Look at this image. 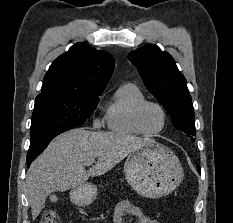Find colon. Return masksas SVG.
<instances>
[{
	"label": "colon",
	"instance_id": "colon-1",
	"mask_svg": "<svg viewBox=\"0 0 233 223\" xmlns=\"http://www.w3.org/2000/svg\"><path fill=\"white\" fill-rule=\"evenodd\" d=\"M42 223H60V221L54 210H45Z\"/></svg>",
	"mask_w": 233,
	"mask_h": 223
}]
</instances>
